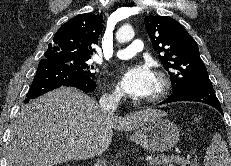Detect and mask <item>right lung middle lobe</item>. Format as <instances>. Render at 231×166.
Wrapping results in <instances>:
<instances>
[{"mask_svg":"<svg viewBox=\"0 0 231 166\" xmlns=\"http://www.w3.org/2000/svg\"><path fill=\"white\" fill-rule=\"evenodd\" d=\"M90 58H74V57H66V56H59V57H53L51 60L69 65L70 67L74 68L75 70L89 75L91 77H94V73L91 71L93 69V66H89L87 61Z\"/></svg>","mask_w":231,"mask_h":166,"instance_id":"right-lung-middle-lobe-1","label":"right lung middle lobe"}]
</instances>
